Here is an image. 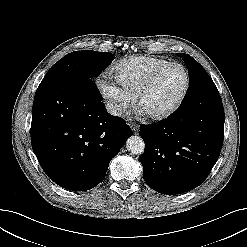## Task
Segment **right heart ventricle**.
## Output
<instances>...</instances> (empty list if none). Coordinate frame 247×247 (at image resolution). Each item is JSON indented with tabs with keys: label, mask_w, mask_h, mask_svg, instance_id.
<instances>
[{
	"label": "right heart ventricle",
	"mask_w": 247,
	"mask_h": 247,
	"mask_svg": "<svg viewBox=\"0 0 247 247\" xmlns=\"http://www.w3.org/2000/svg\"><path fill=\"white\" fill-rule=\"evenodd\" d=\"M170 63L168 60L151 56H134L116 63L111 72L130 96L134 97L140 85L158 68Z\"/></svg>",
	"instance_id": "1"
}]
</instances>
